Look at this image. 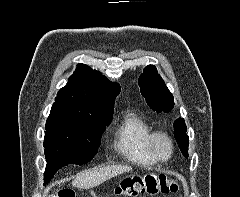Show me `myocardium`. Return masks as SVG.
Instances as JSON below:
<instances>
[{"label": "myocardium", "mask_w": 240, "mask_h": 197, "mask_svg": "<svg viewBox=\"0 0 240 197\" xmlns=\"http://www.w3.org/2000/svg\"><path fill=\"white\" fill-rule=\"evenodd\" d=\"M159 140H164L168 144V154L163 156L159 153L157 143ZM148 149L152 157L157 162H168L174 153V143L172 138L164 131L156 130L152 131L148 138Z\"/></svg>", "instance_id": "obj_1"}]
</instances>
